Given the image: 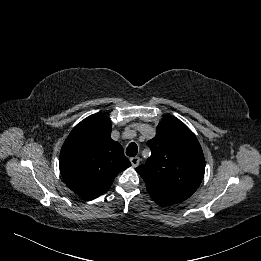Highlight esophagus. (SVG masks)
I'll return each mask as SVG.
<instances>
[{
    "label": "esophagus",
    "mask_w": 261,
    "mask_h": 261,
    "mask_svg": "<svg viewBox=\"0 0 261 261\" xmlns=\"http://www.w3.org/2000/svg\"><path fill=\"white\" fill-rule=\"evenodd\" d=\"M130 162L132 164L133 167H137L139 162H140V158L139 157H132L130 158Z\"/></svg>",
    "instance_id": "esophagus-1"
}]
</instances>
